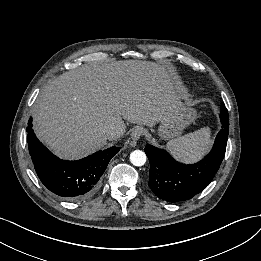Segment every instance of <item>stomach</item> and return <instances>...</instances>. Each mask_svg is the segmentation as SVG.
I'll return each mask as SVG.
<instances>
[{"mask_svg": "<svg viewBox=\"0 0 261 261\" xmlns=\"http://www.w3.org/2000/svg\"><path fill=\"white\" fill-rule=\"evenodd\" d=\"M196 118V111L183 105L180 110L160 122L157 133L164 140L173 139L181 135Z\"/></svg>", "mask_w": 261, "mask_h": 261, "instance_id": "stomach-1", "label": "stomach"}]
</instances>
